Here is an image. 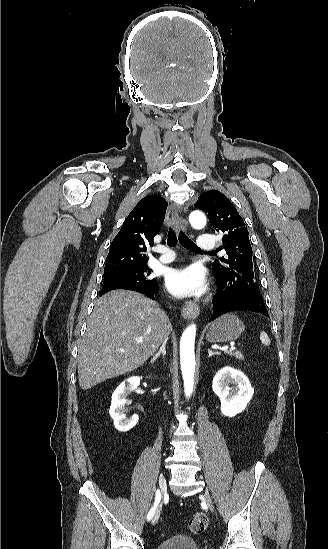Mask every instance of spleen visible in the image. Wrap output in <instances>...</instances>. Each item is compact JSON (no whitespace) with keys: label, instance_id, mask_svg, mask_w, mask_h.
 Wrapping results in <instances>:
<instances>
[{"label":"spleen","instance_id":"1","mask_svg":"<svg viewBox=\"0 0 328 549\" xmlns=\"http://www.w3.org/2000/svg\"><path fill=\"white\" fill-rule=\"evenodd\" d=\"M260 341H261L262 345H265V347H269V345L271 343L267 333H264V331H262V333H260Z\"/></svg>","mask_w":328,"mask_h":549}]
</instances>
